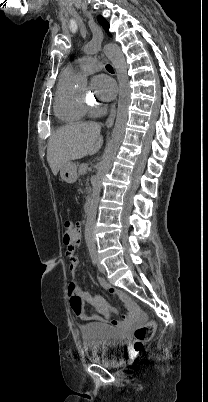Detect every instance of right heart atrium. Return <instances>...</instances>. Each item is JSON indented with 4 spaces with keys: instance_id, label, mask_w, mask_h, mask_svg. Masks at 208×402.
<instances>
[{
    "instance_id": "obj_1",
    "label": "right heart atrium",
    "mask_w": 208,
    "mask_h": 402,
    "mask_svg": "<svg viewBox=\"0 0 208 402\" xmlns=\"http://www.w3.org/2000/svg\"><path fill=\"white\" fill-rule=\"evenodd\" d=\"M99 109L98 108H90L89 109V113L91 116H96L99 113Z\"/></svg>"
}]
</instances>
